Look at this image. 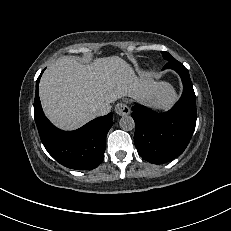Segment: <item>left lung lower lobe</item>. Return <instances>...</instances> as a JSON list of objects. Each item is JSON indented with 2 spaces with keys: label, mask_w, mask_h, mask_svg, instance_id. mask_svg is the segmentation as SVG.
<instances>
[{
  "label": "left lung lower lobe",
  "mask_w": 231,
  "mask_h": 231,
  "mask_svg": "<svg viewBox=\"0 0 231 231\" xmlns=\"http://www.w3.org/2000/svg\"><path fill=\"white\" fill-rule=\"evenodd\" d=\"M173 69L183 82V93L175 106L165 113H156L142 105L132 107L136 125L134 142L146 161L163 164L181 155L194 132L196 98L188 70L179 61H169L164 69Z\"/></svg>",
  "instance_id": "1"
}]
</instances>
